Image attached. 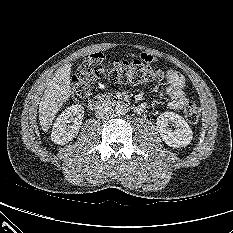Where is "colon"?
I'll return each mask as SVG.
<instances>
[{
    "instance_id": "1",
    "label": "colon",
    "mask_w": 233,
    "mask_h": 233,
    "mask_svg": "<svg viewBox=\"0 0 233 233\" xmlns=\"http://www.w3.org/2000/svg\"><path fill=\"white\" fill-rule=\"evenodd\" d=\"M163 78L162 70L140 60L129 62L108 59L103 53H93L83 60L72 78V99L75 102L86 100L94 91L93 82L98 79L137 85ZM184 115L190 124H196L200 118V110L194 103L189 102L185 106Z\"/></svg>"
}]
</instances>
